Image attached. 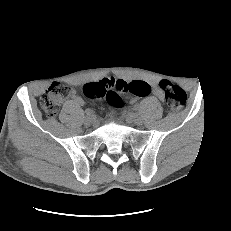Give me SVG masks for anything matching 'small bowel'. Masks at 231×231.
<instances>
[{
    "mask_svg": "<svg viewBox=\"0 0 231 231\" xmlns=\"http://www.w3.org/2000/svg\"><path fill=\"white\" fill-rule=\"evenodd\" d=\"M149 86H150V90L152 91V93L156 97H158L161 100L164 99V93H163V91L161 90V88L159 87V85L157 84V82L154 79H151L149 81ZM136 99H137V96H134L131 99V101L134 102V101H136ZM73 102L75 104H77V105H82L84 103L83 100L80 97L76 96V95L73 96Z\"/></svg>",
    "mask_w": 231,
    "mask_h": 231,
    "instance_id": "small-bowel-1",
    "label": "small bowel"
}]
</instances>
